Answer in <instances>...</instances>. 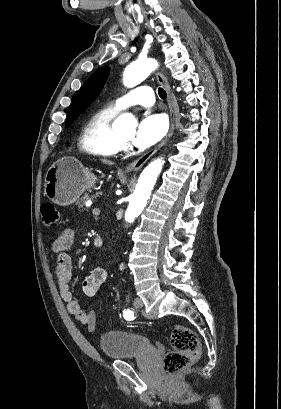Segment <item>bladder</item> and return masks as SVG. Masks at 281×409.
Returning a JSON list of instances; mask_svg holds the SVG:
<instances>
[{
	"label": "bladder",
	"instance_id": "31cf9c89",
	"mask_svg": "<svg viewBox=\"0 0 281 409\" xmlns=\"http://www.w3.org/2000/svg\"><path fill=\"white\" fill-rule=\"evenodd\" d=\"M97 346L101 353L112 361L132 360V355L157 354L154 340L123 329H109L100 333Z\"/></svg>",
	"mask_w": 281,
	"mask_h": 409
}]
</instances>
